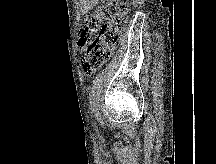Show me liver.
I'll list each match as a JSON object with an SVG mask.
<instances>
[{
  "mask_svg": "<svg viewBox=\"0 0 216 164\" xmlns=\"http://www.w3.org/2000/svg\"><path fill=\"white\" fill-rule=\"evenodd\" d=\"M107 0H84V2H88L87 4H84V10H89L99 2L104 3Z\"/></svg>",
  "mask_w": 216,
  "mask_h": 164,
  "instance_id": "liver-1",
  "label": "liver"
}]
</instances>
